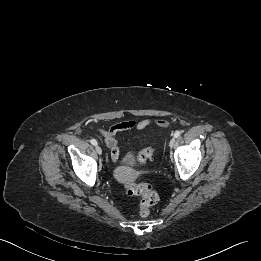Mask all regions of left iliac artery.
Segmentation results:
<instances>
[{
	"instance_id": "1",
	"label": "left iliac artery",
	"mask_w": 261,
	"mask_h": 261,
	"mask_svg": "<svg viewBox=\"0 0 261 261\" xmlns=\"http://www.w3.org/2000/svg\"><path fill=\"white\" fill-rule=\"evenodd\" d=\"M180 134H181V132H180V131H176V132L174 133V137H175V138H177V137H179V136H180Z\"/></svg>"
}]
</instances>
